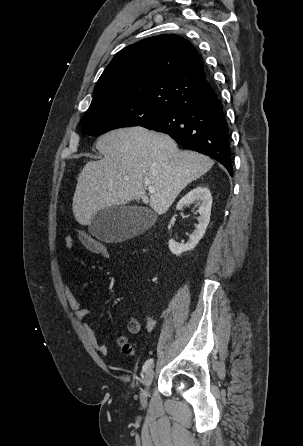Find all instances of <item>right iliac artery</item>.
I'll use <instances>...</instances> for the list:
<instances>
[{
	"label": "right iliac artery",
	"instance_id": "82829eb1",
	"mask_svg": "<svg viewBox=\"0 0 303 446\" xmlns=\"http://www.w3.org/2000/svg\"><path fill=\"white\" fill-rule=\"evenodd\" d=\"M153 364V359L147 360L143 365V371H146Z\"/></svg>",
	"mask_w": 303,
	"mask_h": 446
}]
</instances>
